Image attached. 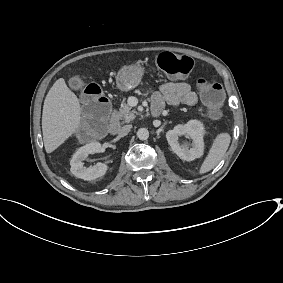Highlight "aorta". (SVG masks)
I'll use <instances>...</instances> for the list:
<instances>
[{"mask_svg":"<svg viewBox=\"0 0 283 283\" xmlns=\"http://www.w3.org/2000/svg\"><path fill=\"white\" fill-rule=\"evenodd\" d=\"M137 137H138L140 140H147L148 137H149V131H148V129H146V128H140V129H138V131H137Z\"/></svg>","mask_w":283,"mask_h":283,"instance_id":"762f6f07","label":"aorta"}]
</instances>
